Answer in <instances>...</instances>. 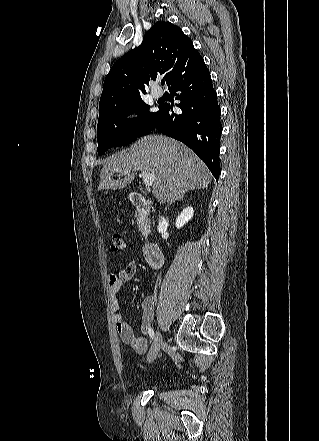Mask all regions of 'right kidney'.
<instances>
[{"label":"right kidney","instance_id":"ca27d5eb","mask_svg":"<svg viewBox=\"0 0 319 441\" xmlns=\"http://www.w3.org/2000/svg\"><path fill=\"white\" fill-rule=\"evenodd\" d=\"M194 210L192 207L185 208L181 214L177 217L175 226L176 228H182L193 217Z\"/></svg>","mask_w":319,"mask_h":441}]
</instances>
